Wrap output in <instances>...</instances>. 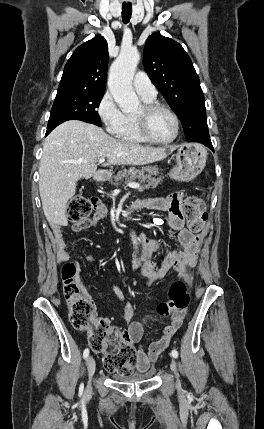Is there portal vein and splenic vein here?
Listing matches in <instances>:
<instances>
[{"mask_svg": "<svg viewBox=\"0 0 264 429\" xmlns=\"http://www.w3.org/2000/svg\"><path fill=\"white\" fill-rule=\"evenodd\" d=\"M104 161H105V158L99 159V163H103ZM128 186L131 188H140V184L136 182H131L128 184Z\"/></svg>", "mask_w": 264, "mask_h": 429, "instance_id": "1", "label": "portal vein and splenic vein"}]
</instances>
